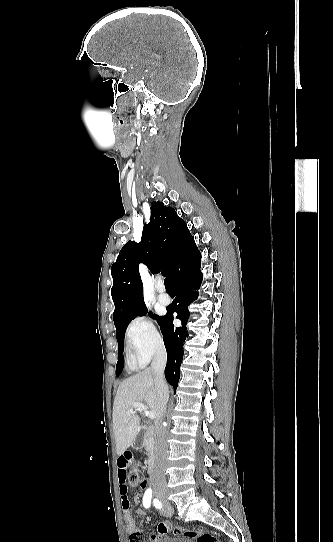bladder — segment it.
<instances>
[{
    "label": "bladder",
    "mask_w": 333,
    "mask_h": 542,
    "mask_svg": "<svg viewBox=\"0 0 333 542\" xmlns=\"http://www.w3.org/2000/svg\"><path fill=\"white\" fill-rule=\"evenodd\" d=\"M165 542H195V540L182 536H170Z\"/></svg>",
    "instance_id": "bladder-1"
}]
</instances>
